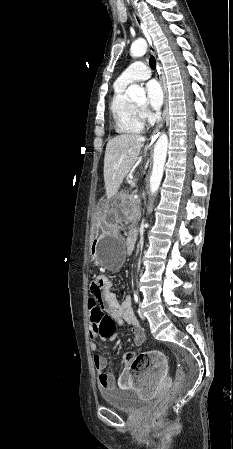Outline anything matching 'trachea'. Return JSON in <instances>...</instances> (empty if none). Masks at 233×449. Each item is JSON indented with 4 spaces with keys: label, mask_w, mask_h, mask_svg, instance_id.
Returning <instances> with one entry per match:
<instances>
[{
    "label": "trachea",
    "mask_w": 233,
    "mask_h": 449,
    "mask_svg": "<svg viewBox=\"0 0 233 449\" xmlns=\"http://www.w3.org/2000/svg\"><path fill=\"white\" fill-rule=\"evenodd\" d=\"M149 64H150V67H151L153 70L156 68V60H155L154 56H151V57H150V59H149Z\"/></svg>",
    "instance_id": "1"
}]
</instances>
